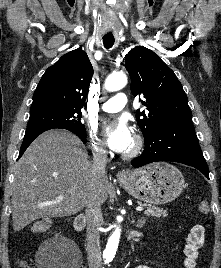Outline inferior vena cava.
Wrapping results in <instances>:
<instances>
[{
    "instance_id": "inferior-vena-cava-1",
    "label": "inferior vena cava",
    "mask_w": 221,
    "mask_h": 268,
    "mask_svg": "<svg viewBox=\"0 0 221 268\" xmlns=\"http://www.w3.org/2000/svg\"><path fill=\"white\" fill-rule=\"evenodd\" d=\"M107 151L98 149L93 153L92 188L85 202L87 224V259L89 268H102L99 228L101 226L100 179L106 176Z\"/></svg>"
}]
</instances>
